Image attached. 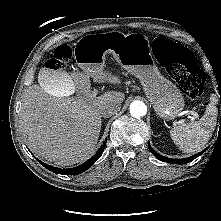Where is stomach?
Returning <instances> with one entry per match:
<instances>
[{"label":"stomach","instance_id":"0dacf381","mask_svg":"<svg viewBox=\"0 0 221 221\" xmlns=\"http://www.w3.org/2000/svg\"><path fill=\"white\" fill-rule=\"evenodd\" d=\"M84 39L87 45L77 55V64L83 71L99 74L103 71L106 56L112 54L122 68L140 80L158 117L172 120L183 110V96L159 72L147 36L110 31Z\"/></svg>","mask_w":221,"mask_h":221}]
</instances>
